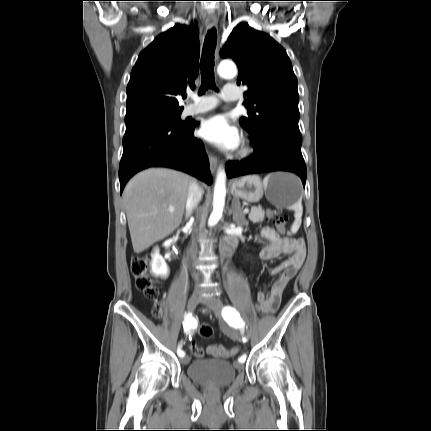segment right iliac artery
I'll return each instance as SVG.
<instances>
[{
    "label": "right iliac artery",
    "mask_w": 431,
    "mask_h": 431,
    "mask_svg": "<svg viewBox=\"0 0 431 431\" xmlns=\"http://www.w3.org/2000/svg\"><path fill=\"white\" fill-rule=\"evenodd\" d=\"M195 326H196V323H195L194 319L191 317L190 314H186L185 320L183 322L184 330L186 332H189L192 328H195ZM177 354L180 357H183L185 355V352L183 350H181L180 346H179V348L177 350Z\"/></svg>",
    "instance_id": "right-iliac-artery-1"
}]
</instances>
